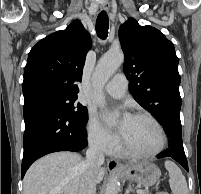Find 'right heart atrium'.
I'll use <instances>...</instances> for the list:
<instances>
[{
  "label": "right heart atrium",
  "instance_id": "right-heart-atrium-1",
  "mask_svg": "<svg viewBox=\"0 0 201 194\" xmlns=\"http://www.w3.org/2000/svg\"><path fill=\"white\" fill-rule=\"evenodd\" d=\"M87 139L91 147L101 153L115 151L119 143L118 138L105 129L94 116H90L88 120Z\"/></svg>",
  "mask_w": 201,
  "mask_h": 194
}]
</instances>
